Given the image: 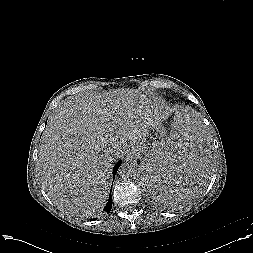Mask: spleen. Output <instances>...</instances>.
I'll list each match as a JSON object with an SVG mask.
<instances>
[{
    "instance_id": "obj_1",
    "label": "spleen",
    "mask_w": 253,
    "mask_h": 253,
    "mask_svg": "<svg viewBox=\"0 0 253 253\" xmlns=\"http://www.w3.org/2000/svg\"><path fill=\"white\" fill-rule=\"evenodd\" d=\"M214 170L204 125L192 117L176 120L141 168L142 190L161 204H181L202 192Z\"/></svg>"
}]
</instances>
